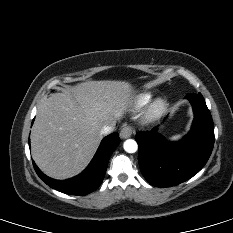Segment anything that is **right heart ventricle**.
Segmentation results:
<instances>
[{
	"mask_svg": "<svg viewBox=\"0 0 233 233\" xmlns=\"http://www.w3.org/2000/svg\"><path fill=\"white\" fill-rule=\"evenodd\" d=\"M153 95L150 92H143L140 93L138 95H136L133 99H132V106L135 109H140L142 107H144L145 105H147L151 99H152Z\"/></svg>",
	"mask_w": 233,
	"mask_h": 233,
	"instance_id": "right-heart-ventricle-1",
	"label": "right heart ventricle"
}]
</instances>
